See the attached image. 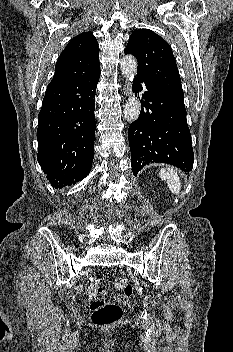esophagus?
Returning a JSON list of instances; mask_svg holds the SVG:
<instances>
[{
  "label": "esophagus",
  "instance_id": "1",
  "mask_svg": "<svg viewBox=\"0 0 233 352\" xmlns=\"http://www.w3.org/2000/svg\"><path fill=\"white\" fill-rule=\"evenodd\" d=\"M123 90H124V94H125V95H128V94H129L130 87H129V84H128V83H126V84L124 85Z\"/></svg>",
  "mask_w": 233,
  "mask_h": 352
}]
</instances>
